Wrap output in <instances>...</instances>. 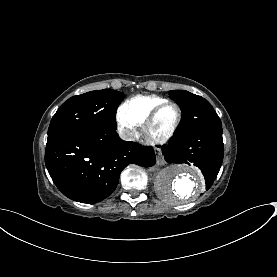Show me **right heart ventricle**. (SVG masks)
Here are the masks:
<instances>
[{"label":"right heart ventricle","instance_id":"right-heart-ventricle-1","mask_svg":"<svg viewBox=\"0 0 277 277\" xmlns=\"http://www.w3.org/2000/svg\"><path fill=\"white\" fill-rule=\"evenodd\" d=\"M168 99L158 96H135L127 100L120 108V118L130 120L136 125L143 124L152 110Z\"/></svg>","mask_w":277,"mask_h":277}]
</instances>
